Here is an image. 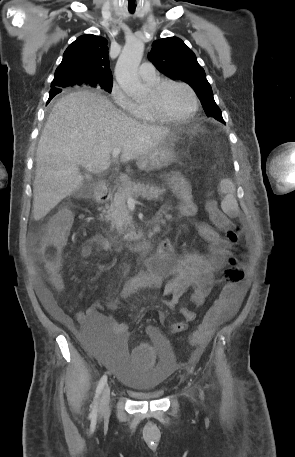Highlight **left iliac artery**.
<instances>
[{
  "instance_id": "1",
  "label": "left iliac artery",
  "mask_w": 295,
  "mask_h": 457,
  "mask_svg": "<svg viewBox=\"0 0 295 457\" xmlns=\"http://www.w3.org/2000/svg\"><path fill=\"white\" fill-rule=\"evenodd\" d=\"M200 393H201V396L203 397V392L201 391Z\"/></svg>"
}]
</instances>
